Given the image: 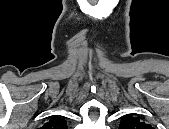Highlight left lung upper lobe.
<instances>
[{"label":"left lung upper lobe","mask_w":169,"mask_h":129,"mask_svg":"<svg viewBox=\"0 0 169 129\" xmlns=\"http://www.w3.org/2000/svg\"><path fill=\"white\" fill-rule=\"evenodd\" d=\"M119 129H152V127L140 121L137 117L125 115L120 122Z\"/></svg>","instance_id":"1"}]
</instances>
